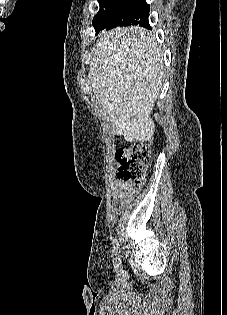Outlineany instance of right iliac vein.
Segmentation results:
<instances>
[{
	"label": "right iliac vein",
	"instance_id": "1",
	"mask_svg": "<svg viewBox=\"0 0 227 315\" xmlns=\"http://www.w3.org/2000/svg\"><path fill=\"white\" fill-rule=\"evenodd\" d=\"M112 262L114 267H118L120 265V256L118 252L113 253Z\"/></svg>",
	"mask_w": 227,
	"mask_h": 315
}]
</instances>
